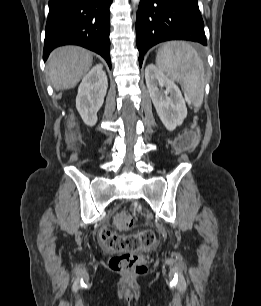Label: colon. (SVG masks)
<instances>
[{"instance_id":"5ec220e1","label":"colon","mask_w":261,"mask_h":306,"mask_svg":"<svg viewBox=\"0 0 261 306\" xmlns=\"http://www.w3.org/2000/svg\"><path fill=\"white\" fill-rule=\"evenodd\" d=\"M196 142L193 132H186L175 141L179 151L190 149ZM115 226L120 231L129 230L134 223L132 214L128 211H120L114 218ZM101 239L107 250L121 252L110 259V269L128 275L145 273L148 269L147 260L144 255L137 253L152 247L157 242V235L151 229H145L132 234H117L109 230L101 231Z\"/></svg>"}]
</instances>
